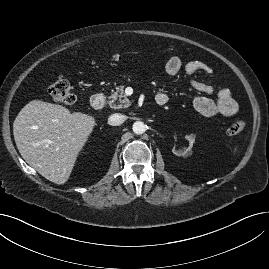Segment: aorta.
Returning a JSON list of instances; mask_svg holds the SVG:
<instances>
[{"instance_id":"762f6f07","label":"aorta","mask_w":269,"mask_h":269,"mask_svg":"<svg viewBox=\"0 0 269 269\" xmlns=\"http://www.w3.org/2000/svg\"><path fill=\"white\" fill-rule=\"evenodd\" d=\"M132 129H133V132H134L135 134L140 135V134H143V133L145 132L146 127H145V124H144L143 122H141V121H136V122L133 124Z\"/></svg>"}]
</instances>
